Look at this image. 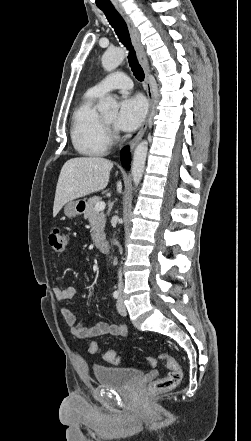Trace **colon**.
Listing matches in <instances>:
<instances>
[{
  "mask_svg": "<svg viewBox=\"0 0 251 441\" xmlns=\"http://www.w3.org/2000/svg\"><path fill=\"white\" fill-rule=\"evenodd\" d=\"M49 244L53 251L62 252L67 243H68V235L59 228H54L49 233ZM89 352L96 353L98 351L97 342L93 341L89 344ZM104 360L113 363L119 364V357L113 351H106L103 354ZM160 359L165 362L167 369L169 370L168 374L164 377H161L155 381H153L149 386V392L151 393H160L174 389L182 380V370L179 363L168 353L162 352L160 354ZM149 366H155L156 361L154 358H147L146 360Z\"/></svg>",
  "mask_w": 251,
  "mask_h": 441,
  "instance_id": "obj_1",
  "label": "colon"
}]
</instances>
